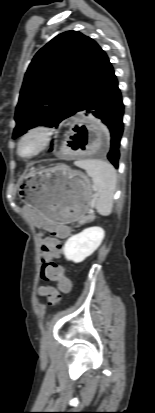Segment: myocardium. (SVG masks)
Masks as SVG:
<instances>
[{"instance_id":"myocardium-1","label":"myocardium","mask_w":155,"mask_h":413,"mask_svg":"<svg viewBox=\"0 0 155 413\" xmlns=\"http://www.w3.org/2000/svg\"><path fill=\"white\" fill-rule=\"evenodd\" d=\"M54 135V130L46 124H34L27 128L19 137L16 145V154L23 160H30L40 155L49 146ZM38 138L39 143L37 148L29 155L25 156L21 154L22 144L29 138Z\"/></svg>"}]
</instances>
